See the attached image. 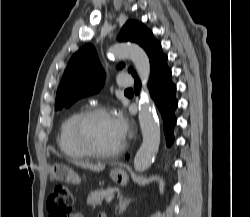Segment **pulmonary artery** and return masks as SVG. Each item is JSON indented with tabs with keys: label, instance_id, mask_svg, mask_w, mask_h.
Here are the masks:
<instances>
[{
	"label": "pulmonary artery",
	"instance_id": "obj_1",
	"mask_svg": "<svg viewBox=\"0 0 250 217\" xmlns=\"http://www.w3.org/2000/svg\"><path fill=\"white\" fill-rule=\"evenodd\" d=\"M132 83V79L127 77L126 74H119L117 77V84L121 88H128L132 85Z\"/></svg>",
	"mask_w": 250,
	"mask_h": 217
}]
</instances>
